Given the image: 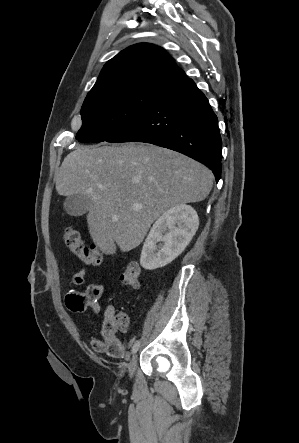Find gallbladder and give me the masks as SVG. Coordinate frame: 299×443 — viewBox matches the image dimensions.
<instances>
[{
    "instance_id": "gallbladder-1",
    "label": "gallbladder",
    "mask_w": 299,
    "mask_h": 443,
    "mask_svg": "<svg viewBox=\"0 0 299 443\" xmlns=\"http://www.w3.org/2000/svg\"><path fill=\"white\" fill-rule=\"evenodd\" d=\"M92 205L91 197L85 194H73L66 198L63 207L70 216L78 217L88 212Z\"/></svg>"
}]
</instances>
